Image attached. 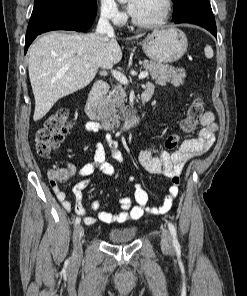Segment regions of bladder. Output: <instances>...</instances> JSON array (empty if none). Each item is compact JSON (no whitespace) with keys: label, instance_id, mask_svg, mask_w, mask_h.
<instances>
[{"label":"bladder","instance_id":"bladder-1","mask_svg":"<svg viewBox=\"0 0 247 296\" xmlns=\"http://www.w3.org/2000/svg\"><path fill=\"white\" fill-rule=\"evenodd\" d=\"M136 233V227L113 228L108 233V239L111 243H128L134 239Z\"/></svg>","mask_w":247,"mask_h":296}]
</instances>
